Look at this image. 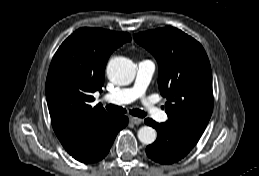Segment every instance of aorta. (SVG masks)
Wrapping results in <instances>:
<instances>
[{
  "label": "aorta",
  "mask_w": 259,
  "mask_h": 176,
  "mask_svg": "<svg viewBox=\"0 0 259 176\" xmlns=\"http://www.w3.org/2000/svg\"><path fill=\"white\" fill-rule=\"evenodd\" d=\"M134 63L125 57H116L109 61L107 76L110 81L118 85L130 84L135 77ZM138 139L145 145L152 144L157 137V132L150 126H143L138 130Z\"/></svg>",
  "instance_id": "1"
}]
</instances>
